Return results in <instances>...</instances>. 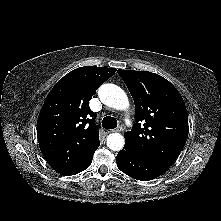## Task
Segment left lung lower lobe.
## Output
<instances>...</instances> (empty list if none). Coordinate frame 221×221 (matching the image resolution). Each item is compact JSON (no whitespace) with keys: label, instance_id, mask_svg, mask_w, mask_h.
<instances>
[{"label":"left lung lower lobe","instance_id":"1","mask_svg":"<svg viewBox=\"0 0 221 221\" xmlns=\"http://www.w3.org/2000/svg\"><path fill=\"white\" fill-rule=\"evenodd\" d=\"M116 160L117 166L122 172L141 181L152 180L168 170L126 146L118 152Z\"/></svg>","mask_w":221,"mask_h":221}]
</instances>
